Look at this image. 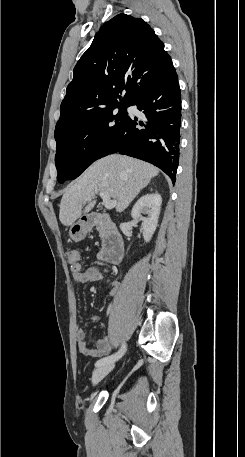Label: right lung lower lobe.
<instances>
[{
	"label": "right lung lower lobe",
	"mask_w": 245,
	"mask_h": 457,
	"mask_svg": "<svg viewBox=\"0 0 245 457\" xmlns=\"http://www.w3.org/2000/svg\"><path fill=\"white\" fill-rule=\"evenodd\" d=\"M131 105H136L146 119L127 116L110 154L119 152L150 162L175 182L181 126V95L175 69L145 82L129 100Z\"/></svg>",
	"instance_id": "1"
}]
</instances>
